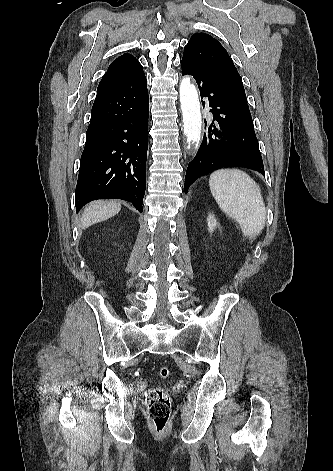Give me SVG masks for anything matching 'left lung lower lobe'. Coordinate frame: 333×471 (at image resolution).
<instances>
[{
    "label": "left lung lower lobe",
    "mask_w": 333,
    "mask_h": 471,
    "mask_svg": "<svg viewBox=\"0 0 333 471\" xmlns=\"http://www.w3.org/2000/svg\"><path fill=\"white\" fill-rule=\"evenodd\" d=\"M182 75H192L200 90L203 108L212 109L213 122L204 133L195 158L189 163L185 189L197 177L225 167H245L265 175L250 112L230 91L197 62L182 58Z\"/></svg>",
    "instance_id": "obj_1"
}]
</instances>
